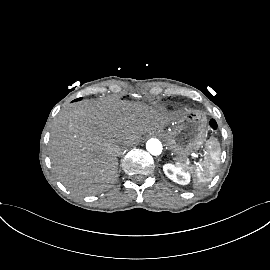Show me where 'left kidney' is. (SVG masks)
Instances as JSON below:
<instances>
[{
  "mask_svg": "<svg viewBox=\"0 0 270 270\" xmlns=\"http://www.w3.org/2000/svg\"><path fill=\"white\" fill-rule=\"evenodd\" d=\"M165 175L177 184L187 185L190 182V174L171 163L163 165Z\"/></svg>",
  "mask_w": 270,
  "mask_h": 270,
  "instance_id": "left-kidney-1",
  "label": "left kidney"
}]
</instances>
